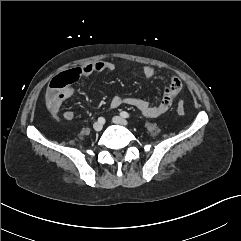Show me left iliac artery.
<instances>
[{
  "label": "left iliac artery",
  "instance_id": "left-iliac-artery-1",
  "mask_svg": "<svg viewBox=\"0 0 241 241\" xmlns=\"http://www.w3.org/2000/svg\"><path fill=\"white\" fill-rule=\"evenodd\" d=\"M120 115H121L122 117H124V118H129V117H130L129 113L126 112V111H122V112L120 113Z\"/></svg>",
  "mask_w": 241,
  "mask_h": 241
}]
</instances>
